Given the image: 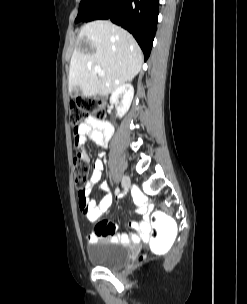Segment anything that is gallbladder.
<instances>
[{
    "mask_svg": "<svg viewBox=\"0 0 247 304\" xmlns=\"http://www.w3.org/2000/svg\"><path fill=\"white\" fill-rule=\"evenodd\" d=\"M80 92V89L78 87H74L71 91L72 96H77Z\"/></svg>",
    "mask_w": 247,
    "mask_h": 304,
    "instance_id": "obj_1",
    "label": "gallbladder"
}]
</instances>
